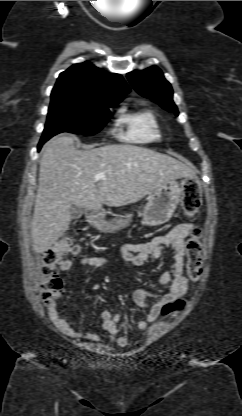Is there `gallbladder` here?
Wrapping results in <instances>:
<instances>
[{
    "mask_svg": "<svg viewBox=\"0 0 242 416\" xmlns=\"http://www.w3.org/2000/svg\"><path fill=\"white\" fill-rule=\"evenodd\" d=\"M70 214L72 219H78L84 214V209L72 204L70 206Z\"/></svg>",
    "mask_w": 242,
    "mask_h": 416,
    "instance_id": "bac80fb5",
    "label": "gallbladder"
}]
</instances>
